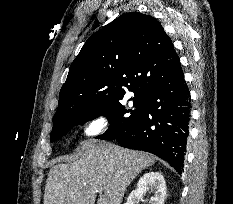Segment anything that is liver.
<instances>
[{"label":"liver","instance_id":"obj_1","mask_svg":"<svg viewBox=\"0 0 233 204\" xmlns=\"http://www.w3.org/2000/svg\"><path fill=\"white\" fill-rule=\"evenodd\" d=\"M80 157L53 166L47 177L43 204H121L126 188L155 160L148 153L105 141L80 143Z\"/></svg>","mask_w":233,"mask_h":204}]
</instances>
